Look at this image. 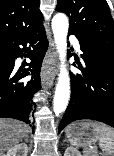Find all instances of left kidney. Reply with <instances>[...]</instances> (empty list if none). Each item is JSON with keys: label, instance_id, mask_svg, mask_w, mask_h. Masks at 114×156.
<instances>
[{"label": "left kidney", "instance_id": "1", "mask_svg": "<svg viewBox=\"0 0 114 156\" xmlns=\"http://www.w3.org/2000/svg\"><path fill=\"white\" fill-rule=\"evenodd\" d=\"M64 156H82L81 153L74 147H67Z\"/></svg>", "mask_w": 114, "mask_h": 156}]
</instances>
